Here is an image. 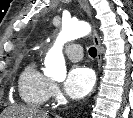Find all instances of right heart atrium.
I'll use <instances>...</instances> for the list:
<instances>
[{
  "label": "right heart atrium",
  "mask_w": 133,
  "mask_h": 118,
  "mask_svg": "<svg viewBox=\"0 0 133 118\" xmlns=\"http://www.w3.org/2000/svg\"><path fill=\"white\" fill-rule=\"evenodd\" d=\"M49 93H50V97L52 98H56L59 96V88L57 84L51 82Z\"/></svg>",
  "instance_id": "obj_1"
}]
</instances>
